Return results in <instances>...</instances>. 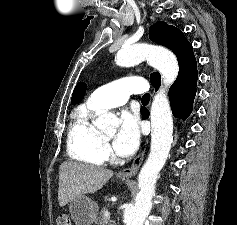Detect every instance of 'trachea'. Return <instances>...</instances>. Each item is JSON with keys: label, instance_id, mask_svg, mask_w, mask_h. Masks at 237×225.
<instances>
[{"label": "trachea", "instance_id": "obj_1", "mask_svg": "<svg viewBox=\"0 0 237 225\" xmlns=\"http://www.w3.org/2000/svg\"><path fill=\"white\" fill-rule=\"evenodd\" d=\"M142 101H149L150 100V94H144L143 96H142V99H141Z\"/></svg>", "mask_w": 237, "mask_h": 225}]
</instances>
